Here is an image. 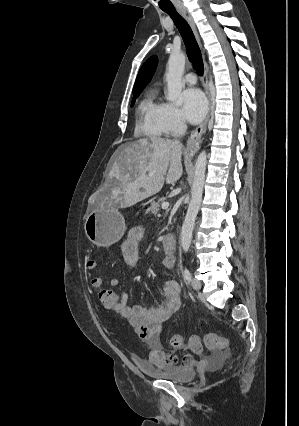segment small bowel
I'll return each instance as SVG.
<instances>
[{
  "label": "small bowel",
  "mask_w": 299,
  "mask_h": 426,
  "mask_svg": "<svg viewBox=\"0 0 299 426\" xmlns=\"http://www.w3.org/2000/svg\"><path fill=\"white\" fill-rule=\"evenodd\" d=\"M143 233L142 227L132 228L122 244L123 258L131 267H135L139 260L138 243L143 237ZM161 263L164 268L173 269L175 259L164 256ZM108 283L113 288L117 287L119 279L118 277H111ZM127 301V293H120V301L114 311L122 316L147 344L150 349V361L158 367L176 364L178 362L177 357L163 350L160 335L163 323L180 308L179 284L173 280L166 281L163 287L162 301L155 307L129 306ZM180 363L183 366H190L195 363V358L189 353H183L180 357Z\"/></svg>",
  "instance_id": "c3829d8e"
}]
</instances>
